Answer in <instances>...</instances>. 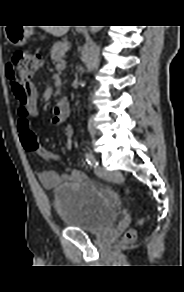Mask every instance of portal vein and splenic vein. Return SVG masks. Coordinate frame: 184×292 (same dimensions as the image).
Masks as SVG:
<instances>
[{
  "label": "portal vein and splenic vein",
  "mask_w": 184,
  "mask_h": 292,
  "mask_svg": "<svg viewBox=\"0 0 184 292\" xmlns=\"http://www.w3.org/2000/svg\"><path fill=\"white\" fill-rule=\"evenodd\" d=\"M65 67V63L62 61L56 65V69H63Z\"/></svg>",
  "instance_id": "obj_1"
}]
</instances>
